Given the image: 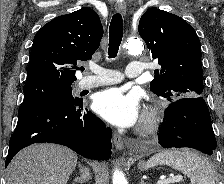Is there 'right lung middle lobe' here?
<instances>
[{
    "instance_id": "obj_1",
    "label": "right lung middle lobe",
    "mask_w": 224,
    "mask_h": 184,
    "mask_svg": "<svg viewBox=\"0 0 224 184\" xmlns=\"http://www.w3.org/2000/svg\"><path fill=\"white\" fill-rule=\"evenodd\" d=\"M73 84H62L53 82H39L25 84L23 87L24 100L19 112L42 102L57 101L62 103H73L78 98L72 96Z\"/></svg>"
}]
</instances>
